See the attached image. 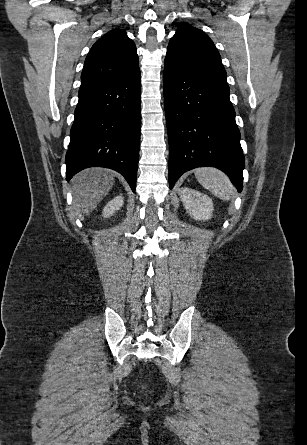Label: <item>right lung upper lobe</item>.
<instances>
[{
	"instance_id": "cb5924a9",
	"label": "right lung upper lobe",
	"mask_w": 307,
	"mask_h": 445,
	"mask_svg": "<svg viewBox=\"0 0 307 445\" xmlns=\"http://www.w3.org/2000/svg\"><path fill=\"white\" fill-rule=\"evenodd\" d=\"M138 66L134 42L124 30L113 29L92 46L84 63L81 86L121 77Z\"/></svg>"
}]
</instances>
